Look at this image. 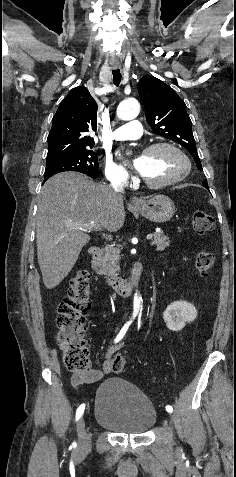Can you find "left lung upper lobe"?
<instances>
[{"label":"left lung upper lobe","instance_id":"obj_1","mask_svg":"<svg viewBox=\"0 0 236 477\" xmlns=\"http://www.w3.org/2000/svg\"><path fill=\"white\" fill-rule=\"evenodd\" d=\"M138 92L152 130L186 148L202 170L184 101L171 87L151 75H145L139 81ZM202 184L209 189L207 180Z\"/></svg>","mask_w":236,"mask_h":477}]
</instances>
